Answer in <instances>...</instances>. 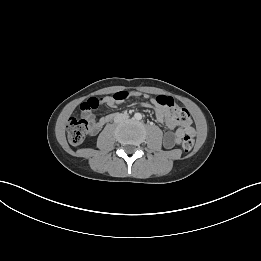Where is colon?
I'll list each match as a JSON object with an SVG mask.
<instances>
[{
    "mask_svg": "<svg viewBox=\"0 0 261 261\" xmlns=\"http://www.w3.org/2000/svg\"><path fill=\"white\" fill-rule=\"evenodd\" d=\"M129 92L120 91L113 94L110 98L114 102H122L128 99ZM103 98H90L81 105L83 116L81 118H71L67 124L68 140L73 145L81 144L90 130L89 115L92 110H95L103 101ZM156 100L163 106L173 108L172 116L177 122L187 123L190 119L189 113L185 108L176 107L174 101L170 97L157 96ZM194 146V139L191 135L184 137L182 142V149L185 153H189Z\"/></svg>",
    "mask_w": 261,
    "mask_h": 261,
    "instance_id": "5ec220e1",
    "label": "colon"
}]
</instances>
